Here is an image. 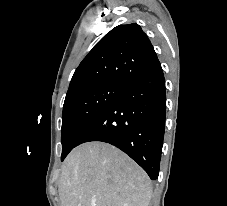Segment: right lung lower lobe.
I'll list each match as a JSON object with an SVG mask.
<instances>
[{
	"label": "right lung lower lobe",
	"instance_id": "98d812e1",
	"mask_svg": "<svg viewBox=\"0 0 227 206\" xmlns=\"http://www.w3.org/2000/svg\"><path fill=\"white\" fill-rule=\"evenodd\" d=\"M166 116V88L160 62L125 81L123 93L81 136L110 143L158 178Z\"/></svg>",
	"mask_w": 227,
	"mask_h": 206
}]
</instances>
